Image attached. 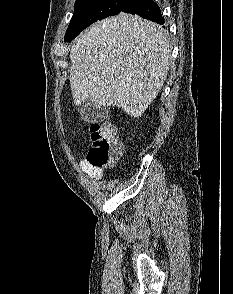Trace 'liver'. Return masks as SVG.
<instances>
[{
	"mask_svg": "<svg viewBox=\"0 0 233 294\" xmlns=\"http://www.w3.org/2000/svg\"><path fill=\"white\" fill-rule=\"evenodd\" d=\"M163 29L120 13L81 33L70 50L73 103L90 98L98 109L118 106L140 117L156 98L172 63Z\"/></svg>",
	"mask_w": 233,
	"mask_h": 294,
	"instance_id": "obj_1",
	"label": "liver"
}]
</instances>
